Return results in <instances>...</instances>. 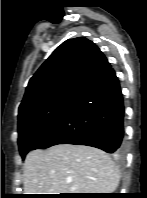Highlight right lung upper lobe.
I'll use <instances>...</instances> for the list:
<instances>
[{"mask_svg":"<svg viewBox=\"0 0 147 198\" xmlns=\"http://www.w3.org/2000/svg\"><path fill=\"white\" fill-rule=\"evenodd\" d=\"M111 68L100 49L85 37L63 42L30 79L18 117L46 103L76 101Z\"/></svg>","mask_w":147,"mask_h":198,"instance_id":"right-lung-upper-lobe-1","label":"right lung upper lobe"}]
</instances>
